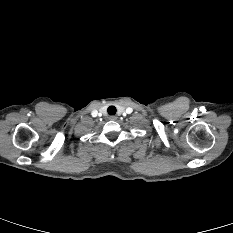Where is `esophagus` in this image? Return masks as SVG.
<instances>
[{
  "label": "esophagus",
  "instance_id": "34e87169",
  "mask_svg": "<svg viewBox=\"0 0 233 233\" xmlns=\"http://www.w3.org/2000/svg\"><path fill=\"white\" fill-rule=\"evenodd\" d=\"M109 119L115 121V120H117V116L112 115V116L109 117Z\"/></svg>",
  "mask_w": 233,
  "mask_h": 233
}]
</instances>
